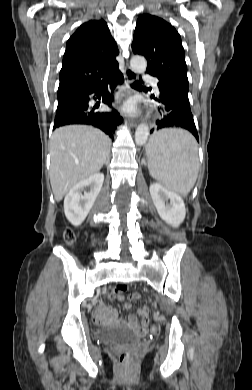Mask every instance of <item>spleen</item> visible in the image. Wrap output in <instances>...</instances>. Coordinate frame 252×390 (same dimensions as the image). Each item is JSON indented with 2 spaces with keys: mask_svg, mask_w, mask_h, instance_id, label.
<instances>
[{
  "mask_svg": "<svg viewBox=\"0 0 252 390\" xmlns=\"http://www.w3.org/2000/svg\"><path fill=\"white\" fill-rule=\"evenodd\" d=\"M150 175L171 191L187 196L198 175V147L185 130L164 129L147 145Z\"/></svg>",
  "mask_w": 252,
  "mask_h": 390,
  "instance_id": "1",
  "label": "spleen"
}]
</instances>
